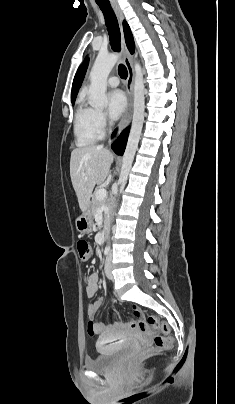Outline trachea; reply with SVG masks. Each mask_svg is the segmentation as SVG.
<instances>
[{
  "label": "trachea",
  "instance_id": "trachea-1",
  "mask_svg": "<svg viewBox=\"0 0 235 404\" xmlns=\"http://www.w3.org/2000/svg\"><path fill=\"white\" fill-rule=\"evenodd\" d=\"M98 5L104 14L111 48L116 52H120V50H121L120 29H119L118 20L116 18V15L110 4H98ZM118 72L122 79L127 78L128 71H127V68L123 64L119 65Z\"/></svg>",
  "mask_w": 235,
  "mask_h": 404
}]
</instances>
